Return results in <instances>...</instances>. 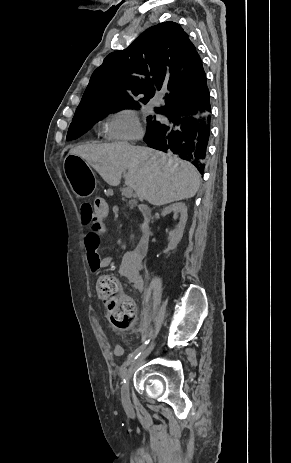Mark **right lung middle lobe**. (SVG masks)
I'll return each instance as SVG.
<instances>
[{
	"label": "right lung middle lobe",
	"mask_w": 291,
	"mask_h": 463,
	"mask_svg": "<svg viewBox=\"0 0 291 463\" xmlns=\"http://www.w3.org/2000/svg\"><path fill=\"white\" fill-rule=\"evenodd\" d=\"M138 102H109L95 105L87 109H78L75 112L72 123L70 124L67 140H73L89 128H91L96 122L106 117L108 114L118 112L123 109H134L138 108ZM156 110V109H155ZM157 112H160L156 110ZM160 123L157 116L147 117V130L157 126Z\"/></svg>",
	"instance_id": "right-lung-middle-lobe-1"
}]
</instances>
